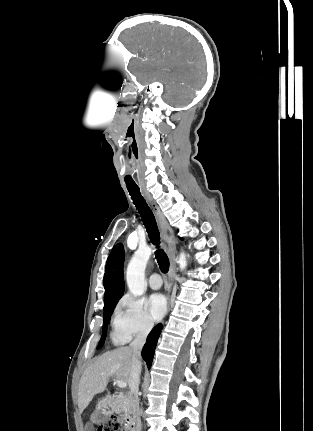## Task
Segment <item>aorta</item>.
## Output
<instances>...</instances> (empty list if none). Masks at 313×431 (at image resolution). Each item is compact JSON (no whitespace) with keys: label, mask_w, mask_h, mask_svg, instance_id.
I'll return each instance as SVG.
<instances>
[{"label":"aorta","mask_w":313,"mask_h":431,"mask_svg":"<svg viewBox=\"0 0 313 431\" xmlns=\"http://www.w3.org/2000/svg\"><path fill=\"white\" fill-rule=\"evenodd\" d=\"M150 247L139 248L131 258L127 271L126 281L129 291L134 296H141L145 288V269L151 257ZM179 268L184 270L187 267L186 255L181 252L178 259Z\"/></svg>","instance_id":"762f6f07"}]
</instances>
